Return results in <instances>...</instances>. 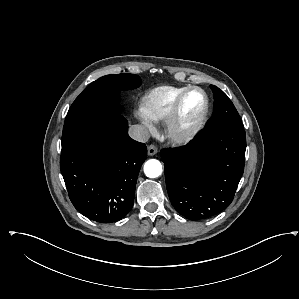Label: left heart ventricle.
Masks as SVG:
<instances>
[{"instance_id": "b2bd125f", "label": "left heart ventricle", "mask_w": 299, "mask_h": 299, "mask_svg": "<svg viewBox=\"0 0 299 299\" xmlns=\"http://www.w3.org/2000/svg\"><path fill=\"white\" fill-rule=\"evenodd\" d=\"M204 100L200 92L193 91L188 94L182 105L180 123L188 125L193 122L201 113Z\"/></svg>"}]
</instances>
